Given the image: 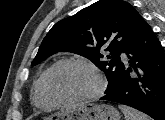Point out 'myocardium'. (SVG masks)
<instances>
[{"mask_svg":"<svg viewBox=\"0 0 165 120\" xmlns=\"http://www.w3.org/2000/svg\"><path fill=\"white\" fill-rule=\"evenodd\" d=\"M67 64H79V65H82V66L88 68L90 71H92L98 81L97 88L88 95L73 98V99H65V98H61L58 95H56V93L53 91V89L51 87V78H52L54 72L58 68H60L63 65H67ZM44 85H45L46 92L48 93L50 98L56 104L57 103L58 104H78V103L91 102V101L98 99L104 93L105 88H106L105 79H104L103 75L101 74V72L99 71V69L90 61L85 60L83 58H76V57L64 58V59H61V60L57 61L56 63H54L48 69V71L45 75Z\"/></svg>","mask_w":165,"mask_h":120,"instance_id":"myocardium-1","label":"myocardium"}]
</instances>
